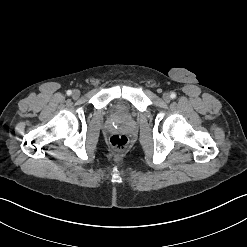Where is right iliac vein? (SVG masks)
Here are the masks:
<instances>
[{
    "mask_svg": "<svg viewBox=\"0 0 247 247\" xmlns=\"http://www.w3.org/2000/svg\"><path fill=\"white\" fill-rule=\"evenodd\" d=\"M80 94H81L80 91L78 89H75L72 92V97L77 99V98H79Z\"/></svg>",
    "mask_w": 247,
    "mask_h": 247,
    "instance_id": "right-iliac-vein-1",
    "label": "right iliac vein"
}]
</instances>
